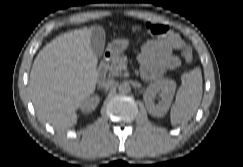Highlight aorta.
I'll return each mask as SVG.
<instances>
[{"label": "aorta", "mask_w": 243, "mask_h": 167, "mask_svg": "<svg viewBox=\"0 0 243 167\" xmlns=\"http://www.w3.org/2000/svg\"><path fill=\"white\" fill-rule=\"evenodd\" d=\"M119 92L127 93L130 91V86L128 83H121L118 87Z\"/></svg>", "instance_id": "aorta-1"}]
</instances>
